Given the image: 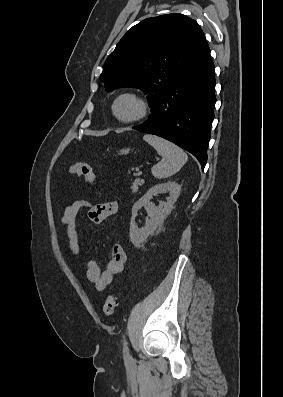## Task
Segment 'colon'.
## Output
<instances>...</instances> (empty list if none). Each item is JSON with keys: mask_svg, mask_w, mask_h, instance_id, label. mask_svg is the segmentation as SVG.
<instances>
[{"mask_svg": "<svg viewBox=\"0 0 283 397\" xmlns=\"http://www.w3.org/2000/svg\"><path fill=\"white\" fill-rule=\"evenodd\" d=\"M69 173L82 177L91 186L96 185V178L92 167L84 162H75L69 166ZM116 307V298L113 295H109L103 305V312L106 316H111Z\"/></svg>", "mask_w": 283, "mask_h": 397, "instance_id": "obj_1", "label": "colon"}]
</instances>
